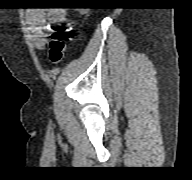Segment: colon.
<instances>
[{"mask_svg": "<svg viewBox=\"0 0 192 180\" xmlns=\"http://www.w3.org/2000/svg\"><path fill=\"white\" fill-rule=\"evenodd\" d=\"M71 38L69 29L62 28L56 30L51 35V40L48 46V55L52 64H59L65 53L66 42Z\"/></svg>", "mask_w": 192, "mask_h": 180, "instance_id": "5ec220e1", "label": "colon"}]
</instances>
